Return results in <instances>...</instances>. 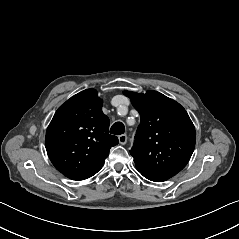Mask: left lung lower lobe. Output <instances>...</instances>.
<instances>
[{"mask_svg": "<svg viewBox=\"0 0 239 239\" xmlns=\"http://www.w3.org/2000/svg\"><path fill=\"white\" fill-rule=\"evenodd\" d=\"M137 170L147 179L155 182H162L171 177H173L174 173H166V172H159V171H151L146 169L137 168Z\"/></svg>", "mask_w": 239, "mask_h": 239, "instance_id": "0a47b994", "label": "left lung lower lobe"}]
</instances>
